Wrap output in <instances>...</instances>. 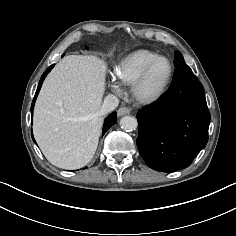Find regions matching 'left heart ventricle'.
Wrapping results in <instances>:
<instances>
[{
  "label": "left heart ventricle",
  "instance_id": "1",
  "mask_svg": "<svg viewBox=\"0 0 236 236\" xmlns=\"http://www.w3.org/2000/svg\"><path fill=\"white\" fill-rule=\"evenodd\" d=\"M169 66L165 60H160L150 71L144 85L145 93H156L164 84L168 75Z\"/></svg>",
  "mask_w": 236,
  "mask_h": 236
}]
</instances>
